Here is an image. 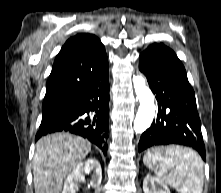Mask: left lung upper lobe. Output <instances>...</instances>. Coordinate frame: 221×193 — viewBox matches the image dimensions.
Returning a JSON list of instances; mask_svg holds the SVG:
<instances>
[{
  "mask_svg": "<svg viewBox=\"0 0 221 193\" xmlns=\"http://www.w3.org/2000/svg\"><path fill=\"white\" fill-rule=\"evenodd\" d=\"M176 117H178V115H177ZM170 124H172V125L175 124L174 117H173V119L170 121Z\"/></svg>",
  "mask_w": 221,
  "mask_h": 193,
  "instance_id": "left-lung-upper-lobe-1",
  "label": "left lung upper lobe"
}]
</instances>
